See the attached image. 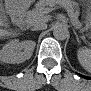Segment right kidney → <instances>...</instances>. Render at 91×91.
<instances>
[{"label": "right kidney", "instance_id": "right-kidney-1", "mask_svg": "<svg viewBox=\"0 0 91 91\" xmlns=\"http://www.w3.org/2000/svg\"><path fill=\"white\" fill-rule=\"evenodd\" d=\"M35 46L36 43L31 40H12L1 49L0 60L9 64L22 63L32 56Z\"/></svg>", "mask_w": 91, "mask_h": 91}]
</instances>
